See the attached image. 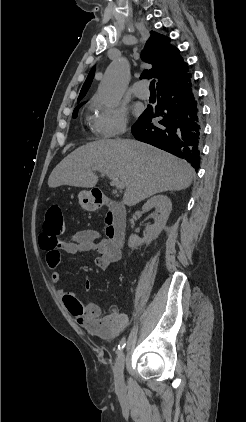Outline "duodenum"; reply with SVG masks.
<instances>
[{"label": "duodenum", "mask_w": 246, "mask_h": 422, "mask_svg": "<svg viewBox=\"0 0 246 422\" xmlns=\"http://www.w3.org/2000/svg\"><path fill=\"white\" fill-rule=\"evenodd\" d=\"M97 205H106L109 211L106 215V234L117 246L124 244L126 236V209L120 202L107 197L96 196Z\"/></svg>", "instance_id": "410a0bca"}]
</instances>
